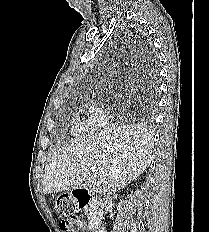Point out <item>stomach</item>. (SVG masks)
<instances>
[{"instance_id": "obj_1", "label": "stomach", "mask_w": 209, "mask_h": 232, "mask_svg": "<svg viewBox=\"0 0 209 232\" xmlns=\"http://www.w3.org/2000/svg\"><path fill=\"white\" fill-rule=\"evenodd\" d=\"M76 198L74 194H57L56 210L59 213V218H64L65 221H78V213L75 209Z\"/></svg>"}]
</instances>
